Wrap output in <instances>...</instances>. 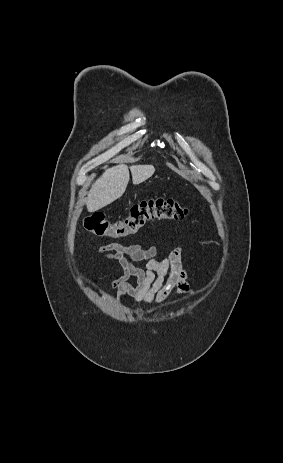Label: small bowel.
Instances as JSON below:
<instances>
[{"label": "small bowel", "mask_w": 283, "mask_h": 463, "mask_svg": "<svg viewBox=\"0 0 283 463\" xmlns=\"http://www.w3.org/2000/svg\"><path fill=\"white\" fill-rule=\"evenodd\" d=\"M97 261H116L123 273L110 281L109 286L118 292V300L130 296L135 302L160 305L175 292L191 295L194 292L190 275L183 266V249L177 247L167 256L161 257L156 247L145 248L141 244L121 245L111 243L97 249ZM146 261V269L134 265ZM136 279V285L130 279Z\"/></svg>", "instance_id": "obj_1"}]
</instances>
